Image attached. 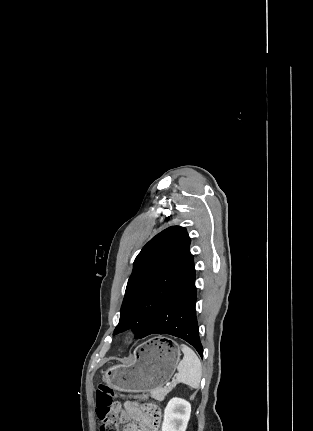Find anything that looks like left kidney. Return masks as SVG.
I'll use <instances>...</instances> for the list:
<instances>
[{
  "label": "left kidney",
  "mask_w": 313,
  "mask_h": 431,
  "mask_svg": "<svg viewBox=\"0 0 313 431\" xmlns=\"http://www.w3.org/2000/svg\"><path fill=\"white\" fill-rule=\"evenodd\" d=\"M191 414V405L181 398H172L165 410L162 431H186Z\"/></svg>",
  "instance_id": "left-kidney-1"
}]
</instances>
